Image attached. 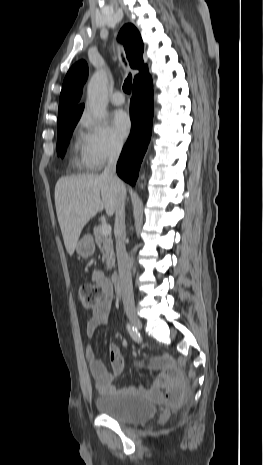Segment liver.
Masks as SVG:
<instances>
[{
    "label": "liver",
    "instance_id": "6515ba94",
    "mask_svg": "<svg viewBox=\"0 0 263 465\" xmlns=\"http://www.w3.org/2000/svg\"><path fill=\"white\" fill-rule=\"evenodd\" d=\"M119 197V189L109 179L98 174L66 176L57 181V218L70 256L75 251L84 226L103 209L108 216L113 215Z\"/></svg>",
    "mask_w": 263,
    "mask_h": 465
}]
</instances>
